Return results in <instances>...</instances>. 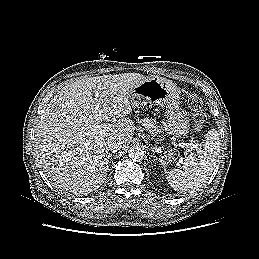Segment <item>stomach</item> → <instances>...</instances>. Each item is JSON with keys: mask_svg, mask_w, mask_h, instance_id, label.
Here are the masks:
<instances>
[{"mask_svg": "<svg viewBox=\"0 0 259 259\" xmlns=\"http://www.w3.org/2000/svg\"><path fill=\"white\" fill-rule=\"evenodd\" d=\"M134 108H142L147 104L160 105L166 109L168 120L164 123V130L172 135V144L176 145L177 138L188 135L190 124L187 113L179 107V90L175 83L162 77L146 78L136 85L130 93ZM174 159L171 151L164 152L161 157L163 164Z\"/></svg>", "mask_w": 259, "mask_h": 259, "instance_id": "1", "label": "stomach"}]
</instances>
